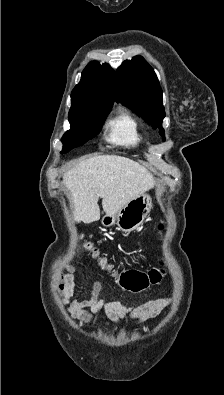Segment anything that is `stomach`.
<instances>
[{"mask_svg": "<svg viewBox=\"0 0 224 395\" xmlns=\"http://www.w3.org/2000/svg\"><path fill=\"white\" fill-rule=\"evenodd\" d=\"M153 205L149 194H142L128 202L116 214L106 213L101 220L105 227L117 225L123 232L137 229L151 212Z\"/></svg>", "mask_w": 224, "mask_h": 395, "instance_id": "obj_1", "label": "stomach"}]
</instances>
